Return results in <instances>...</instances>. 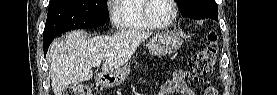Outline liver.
I'll return each mask as SVG.
<instances>
[{"label": "liver", "instance_id": "liver-1", "mask_svg": "<svg viewBox=\"0 0 277 95\" xmlns=\"http://www.w3.org/2000/svg\"><path fill=\"white\" fill-rule=\"evenodd\" d=\"M151 33L138 30L120 31L112 36L89 38L85 31L76 30L52 42L49 48L51 85L54 95L93 77L92 67L105 60L102 73L113 72L126 64L139 45Z\"/></svg>", "mask_w": 277, "mask_h": 95}]
</instances>
